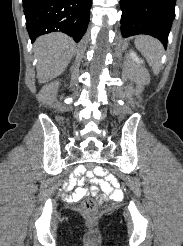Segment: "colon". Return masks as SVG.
Here are the masks:
<instances>
[{
    "mask_svg": "<svg viewBox=\"0 0 183 246\" xmlns=\"http://www.w3.org/2000/svg\"><path fill=\"white\" fill-rule=\"evenodd\" d=\"M96 167V162H85L84 169H92ZM81 209L87 216H94L97 212V204L92 198H87L83 201Z\"/></svg>",
    "mask_w": 183,
    "mask_h": 246,
    "instance_id": "5ec220e1",
    "label": "colon"
}]
</instances>
